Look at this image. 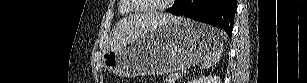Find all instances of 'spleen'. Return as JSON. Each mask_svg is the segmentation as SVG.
I'll return each mask as SVG.
<instances>
[{"mask_svg":"<svg viewBox=\"0 0 307 83\" xmlns=\"http://www.w3.org/2000/svg\"><path fill=\"white\" fill-rule=\"evenodd\" d=\"M213 30H215V47L212 48L204 58L203 63L201 64L202 69L213 68V66L220 60L223 52V42L226 39V34L215 28H213Z\"/></svg>","mask_w":307,"mask_h":83,"instance_id":"3e777b00","label":"spleen"}]
</instances>
